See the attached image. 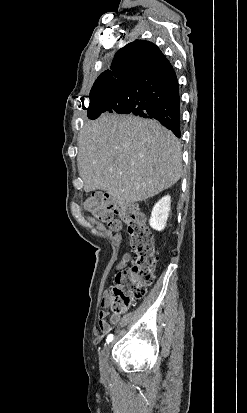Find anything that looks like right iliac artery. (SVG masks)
<instances>
[{
    "label": "right iliac artery",
    "instance_id": "1",
    "mask_svg": "<svg viewBox=\"0 0 247 413\" xmlns=\"http://www.w3.org/2000/svg\"><path fill=\"white\" fill-rule=\"evenodd\" d=\"M112 340H113V334H109V335L107 336L106 342H107V343H110Z\"/></svg>",
    "mask_w": 247,
    "mask_h": 413
}]
</instances>
